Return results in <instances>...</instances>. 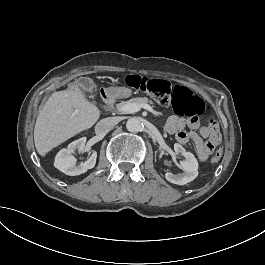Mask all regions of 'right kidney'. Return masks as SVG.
Here are the masks:
<instances>
[{
    "instance_id": "obj_1",
    "label": "right kidney",
    "mask_w": 265,
    "mask_h": 265,
    "mask_svg": "<svg viewBox=\"0 0 265 265\" xmlns=\"http://www.w3.org/2000/svg\"><path fill=\"white\" fill-rule=\"evenodd\" d=\"M87 138L82 137L78 140L73 141L69 144L68 149H62L58 152L54 166L61 172L70 175L76 176L82 173L87 172L90 169H93L96 165L97 160V151L93 150L92 154L88 159L81 163V165L76 166V158L72 156V153L75 150L83 151L85 149Z\"/></svg>"
}]
</instances>
